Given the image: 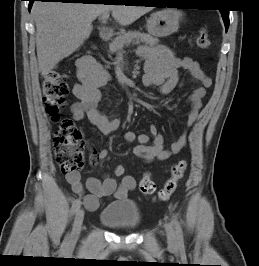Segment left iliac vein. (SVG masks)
<instances>
[{
    "label": "left iliac vein",
    "mask_w": 259,
    "mask_h": 266,
    "mask_svg": "<svg viewBox=\"0 0 259 266\" xmlns=\"http://www.w3.org/2000/svg\"><path fill=\"white\" fill-rule=\"evenodd\" d=\"M165 230H166V235H167V241L170 246H175L176 245V236L174 232V228L172 224L167 223L165 225Z\"/></svg>",
    "instance_id": "4c4485c4"
}]
</instances>
